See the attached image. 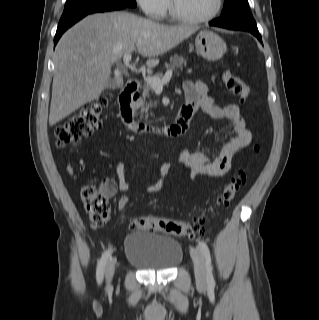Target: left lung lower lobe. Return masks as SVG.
Instances as JSON below:
<instances>
[{
	"mask_svg": "<svg viewBox=\"0 0 319 320\" xmlns=\"http://www.w3.org/2000/svg\"><path fill=\"white\" fill-rule=\"evenodd\" d=\"M211 26L227 28L231 30H243L252 33L261 41V35L253 16L244 14H231L217 18L209 23Z\"/></svg>",
	"mask_w": 319,
	"mask_h": 320,
	"instance_id": "1",
	"label": "left lung lower lobe"
}]
</instances>
